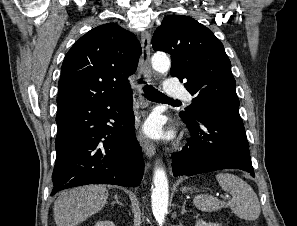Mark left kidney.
Masks as SVG:
<instances>
[{
	"instance_id": "obj_1",
	"label": "left kidney",
	"mask_w": 297,
	"mask_h": 226,
	"mask_svg": "<svg viewBox=\"0 0 297 226\" xmlns=\"http://www.w3.org/2000/svg\"><path fill=\"white\" fill-rule=\"evenodd\" d=\"M195 226H220V225L214 222H205L202 219H200L196 222Z\"/></svg>"
}]
</instances>
